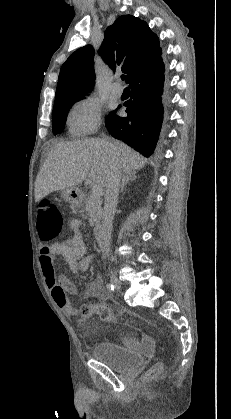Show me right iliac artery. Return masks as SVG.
Here are the masks:
<instances>
[{
	"mask_svg": "<svg viewBox=\"0 0 231 419\" xmlns=\"http://www.w3.org/2000/svg\"><path fill=\"white\" fill-rule=\"evenodd\" d=\"M106 288H107V290H108L109 292H113V291H114V289H115L114 285H113V284H111V283H108V284L106 285Z\"/></svg>",
	"mask_w": 231,
	"mask_h": 419,
	"instance_id": "82829eb1",
	"label": "right iliac artery"
}]
</instances>
